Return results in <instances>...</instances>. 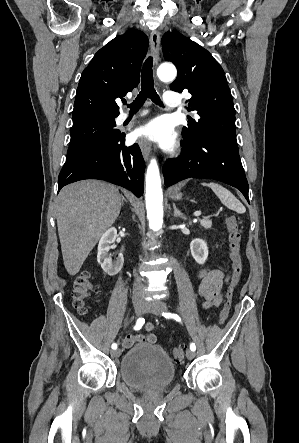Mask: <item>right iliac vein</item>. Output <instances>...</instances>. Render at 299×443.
<instances>
[{"label": "right iliac vein", "mask_w": 299, "mask_h": 443, "mask_svg": "<svg viewBox=\"0 0 299 443\" xmlns=\"http://www.w3.org/2000/svg\"><path fill=\"white\" fill-rule=\"evenodd\" d=\"M134 311L136 313V315L140 316L145 312L146 309V305L140 301H135L134 304ZM121 354L120 349L114 350L111 352V355L113 358H118Z\"/></svg>", "instance_id": "right-iliac-vein-1"}]
</instances>
